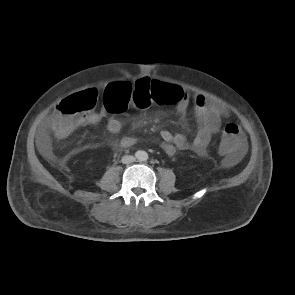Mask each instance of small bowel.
<instances>
[{
	"label": "small bowel",
	"instance_id": "small-bowel-1",
	"mask_svg": "<svg viewBox=\"0 0 295 295\" xmlns=\"http://www.w3.org/2000/svg\"><path fill=\"white\" fill-rule=\"evenodd\" d=\"M146 80L150 81L146 78H142L131 84L133 87H135L138 82ZM175 87L178 91L177 99L174 101L176 104V112L180 116H183L186 113L190 103L192 102L194 112L198 121V127L191 140H188L186 136L180 133H172L168 130L161 131V148L168 156H173L178 149H190L200 156H205L207 154V148L212 135L219 130L222 119L227 117L228 111L224 106L206 99L201 94H195L192 96L183 87ZM106 116V109H101L99 112L90 113L89 115H87L83 119L82 124H96L103 120ZM54 119L55 114L48 118L38 135V143L45 150H48L50 146L49 133L52 131ZM121 128L122 123L118 118L109 117L107 122V129L110 133L116 134L121 130ZM135 142L136 140L133 137L127 136L123 137L120 140L119 144L122 148H129L133 146ZM244 149V143L243 141H240V144L235 151L227 152L226 164L228 166H233L237 164L243 156Z\"/></svg>",
	"mask_w": 295,
	"mask_h": 295
}]
</instances>
